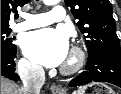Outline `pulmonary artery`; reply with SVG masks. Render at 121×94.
Returning a JSON list of instances; mask_svg holds the SVG:
<instances>
[{"mask_svg":"<svg viewBox=\"0 0 121 94\" xmlns=\"http://www.w3.org/2000/svg\"><path fill=\"white\" fill-rule=\"evenodd\" d=\"M21 16L23 20L22 22L14 25L12 29L14 32H21L37 27L46 26L54 22L62 21L66 17V11L63 6L57 5L54 6L50 12L47 13H23Z\"/></svg>","mask_w":121,"mask_h":94,"instance_id":"1","label":"pulmonary artery"}]
</instances>
